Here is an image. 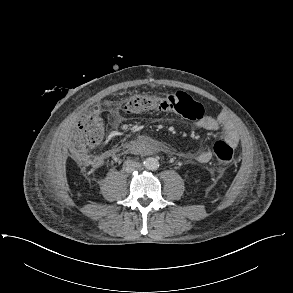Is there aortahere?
Instances as JSON below:
<instances>
[{"label": "aorta", "instance_id": "aorta-1", "mask_svg": "<svg viewBox=\"0 0 293 293\" xmlns=\"http://www.w3.org/2000/svg\"><path fill=\"white\" fill-rule=\"evenodd\" d=\"M144 167L149 170H155L159 167V162L156 158L148 157L144 161Z\"/></svg>", "mask_w": 293, "mask_h": 293}]
</instances>
